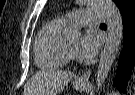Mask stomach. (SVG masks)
<instances>
[{"label": "stomach", "instance_id": "obj_1", "mask_svg": "<svg viewBox=\"0 0 135 95\" xmlns=\"http://www.w3.org/2000/svg\"><path fill=\"white\" fill-rule=\"evenodd\" d=\"M86 87H87V84L86 83H79L77 81L74 82V88L76 90L83 91V90L86 89Z\"/></svg>", "mask_w": 135, "mask_h": 95}]
</instances>
